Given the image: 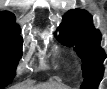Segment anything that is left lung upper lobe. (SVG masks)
<instances>
[{
  "label": "left lung upper lobe",
  "instance_id": "1",
  "mask_svg": "<svg viewBox=\"0 0 107 89\" xmlns=\"http://www.w3.org/2000/svg\"><path fill=\"white\" fill-rule=\"evenodd\" d=\"M64 23L58 28L57 39L74 50L82 59L84 81L81 89H97L104 73L106 58L100 47L101 34L93 26L92 16L83 9H73L63 16Z\"/></svg>",
  "mask_w": 107,
  "mask_h": 89
}]
</instances>
